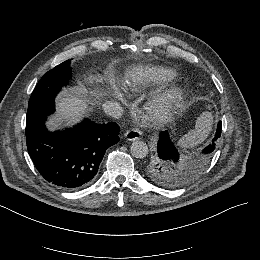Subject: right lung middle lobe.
Here are the masks:
<instances>
[{
	"label": "right lung middle lobe",
	"mask_w": 260,
	"mask_h": 260,
	"mask_svg": "<svg viewBox=\"0 0 260 260\" xmlns=\"http://www.w3.org/2000/svg\"><path fill=\"white\" fill-rule=\"evenodd\" d=\"M71 78L70 62L65 61L43 75L28 104L26 127L45 119L55 110L54 98Z\"/></svg>",
	"instance_id": "dd1d6c3e"
}]
</instances>
